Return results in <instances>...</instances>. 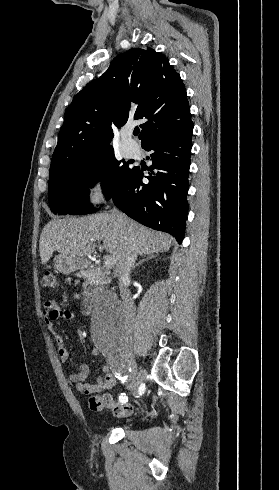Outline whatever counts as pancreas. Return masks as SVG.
I'll return each mask as SVG.
<instances>
[{"label": "pancreas", "instance_id": "obj_1", "mask_svg": "<svg viewBox=\"0 0 279 490\" xmlns=\"http://www.w3.org/2000/svg\"><path fill=\"white\" fill-rule=\"evenodd\" d=\"M110 272L109 270H105V268H88L86 272H84V292H82L83 296H88L89 290H91V286H102L105 282H108V276Z\"/></svg>", "mask_w": 279, "mask_h": 490}]
</instances>
